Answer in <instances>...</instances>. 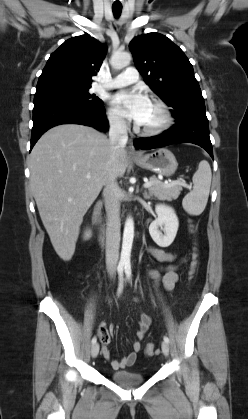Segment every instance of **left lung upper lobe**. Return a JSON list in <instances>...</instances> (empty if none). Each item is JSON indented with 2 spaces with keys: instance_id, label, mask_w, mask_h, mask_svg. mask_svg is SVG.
<instances>
[{
  "instance_id": "left-lung-upper-lobe-1",
  "label": "left lung upper lobe",
  "mask_w": 248,
  "mask_h": 419,
  "mask_svg": "<svg viewBox=\"0 0 248 419\" xmlns=\"http://www.w3.org/2000/svg\"><path fill=\"white\" fill-rule=\"evenodd\" d=\"M129 48L144 81L173 107L174 118L191 110H205L193 67L180 47L169 38L152 32L134 38Z\"/></svg>"
}]
</instances>
